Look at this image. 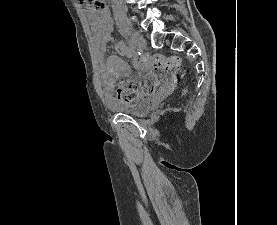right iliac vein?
Listing matches in <instances>:
<instances>
[{"mask_svg": "<svg viewBox=\"0 0 277 225\" xmlns=\"http://www.w3.org/2000/svg\"><path fill=\"white\" fill-rule=\"evenodd\" d=\"M122 32L129 36L130 40L134 45L139 49H144L146 47L145 39L137 32H134L130 29H123Z\"/></svg>", "mask_w": 277, "mask_h": 225, "instance_id": "right-iliac-vein-1", "label": "right iliac vein"}]
</instances>
